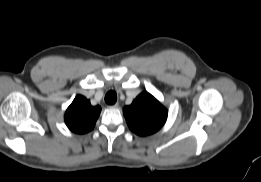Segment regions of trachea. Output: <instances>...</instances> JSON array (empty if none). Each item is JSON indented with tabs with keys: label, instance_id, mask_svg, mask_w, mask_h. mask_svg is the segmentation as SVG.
I'll return each instance as SVG.
<instances>
[{
	"label": "trachea",
	"instance_id": "trachea-1",
	"mask_svg": "<svg viewBox=\"0 0 261 182\" xmlns=\"http://www.w3.org/2000/svg\"><path fill=\"white\" fill-rule=\"evenodd\" d=\"M117 101V94L115 91H109L105 96V102L109 105L115 104Z\"/></svg>",
	"mask_w": 261,
	"mask_h": 182
}]
</instances>
